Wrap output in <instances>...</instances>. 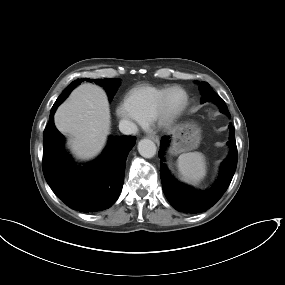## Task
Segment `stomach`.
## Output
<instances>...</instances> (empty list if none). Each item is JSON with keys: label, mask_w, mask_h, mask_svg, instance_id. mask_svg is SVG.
Masks as SVG:
<instances>
[{"label": "stomach", "mask_w": 285, "mask_h": 285, "mask_svg": "<svg viewBox=\"0 0 285 285\" xmlns=\"http://www.w3.org/2000/svg\"><path fill=\"white\" fill-rule=\"evenodd\" d=\"M171 153L179 154L198 147L201 139L199 127L191 122L180 124L172 131Z\"/></svg>", "instance_id": "1"}]
</instances>
